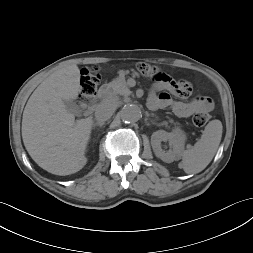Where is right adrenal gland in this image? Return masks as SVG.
<instances>
[{
  "label": "right adrenal gland",
  "instance_id": "2a0ac1e0",
  "mask_svg": "<svg viewBox=\"0 0 253 253\" xmlns=\"http://www.w3.org/2000/svg\"><path fill=\"white\" fill-rule=\"evenodd\" d=\"M104 125V122H96L93 127H96V126H99V127H102Z\"/></svg>",
  "mask_w": 253,
  "mask_h": 253
}]
</instances>
